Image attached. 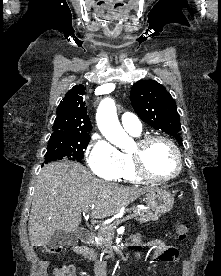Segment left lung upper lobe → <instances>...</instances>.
<instances>
[{
	"mask_svg": "<svg viewBox=\"0 0 221 276\" xmlns=\"http://www.w3.org/2000/svg\"><path fill=\"white\" fill-rule=\"evenodd\" d=\"M130 99L135 112L144 122L176 137L182 145L176 103L164 86L154 80L138 81L131 88Z\"/></svg>",
	"mask_w": 221,
	"mask_h": 276,
	"instance_id": "5c2ea615",
	"label": "left lung upper lobe"
}]
</instances>
